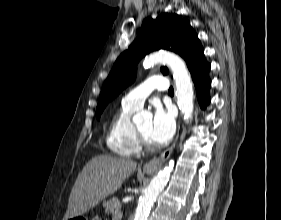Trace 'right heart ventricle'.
I'll return each instance as SVG.
<instances>
[{"instance_id": "right-heart-ventricle-1", "label": "right heart ventricle", "mask_w": 281, "mask_h": 220, "mask_svg": "<svg viewBox=\"0 0 281 220\" xmlns=\"http://www.w3.org/2000/svg\"><path fill=\"white\" fill-rule=\"evenodd\" d=\"M137 109L122 101L120 109L113 116L106 143L111 152L122 157H133L141 152L136 135L135 126L132 123V115Z\"/></svg>"}]
</instances>
